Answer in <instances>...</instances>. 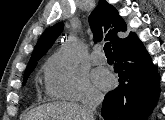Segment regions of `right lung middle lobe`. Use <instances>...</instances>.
I'll return each mask as SVG.
<instances>
[{
    "mask_svg": "<svg viewBox=\"0 0 165 120\" xmlns=\"http://www.w3.org/2000/svg\"><path fill=\"white\" fill-rule=\"evenodd\" d=\"M36 65H37V62L33 63L32 65H30V66L26 69L25 75H24V79H23V84L26 83V81H27V79H28L30 73L33 71V69L36 67Z\"/></svg>",
    "mask_w": 165,
    "mask_h": 120,
    "instance_id": "right-lung-middle-lobe-1",
    "label": "right lung middle lobe"
}]
</instances>
